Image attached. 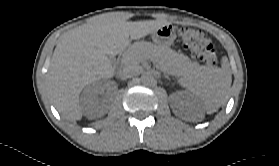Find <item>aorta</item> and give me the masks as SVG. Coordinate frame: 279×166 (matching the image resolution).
Instances as JSON below:
<instances>
[{
    "label": "aorta",
    "mask_w": 279,
    "mask_h": 166,
    "mask_svg": "<svg viewBox=\"0 0 279 166\" xmlns=\"http://www.w3.org/2000/svg\"><path fill=\"white\" fill-rule=\"evenodd\" d=\"M142 82L145 84V85H150L154 82V77L150 74H146L142 77Z\"/></svg>",
    "instance_id": "1"
}]
</instances>
